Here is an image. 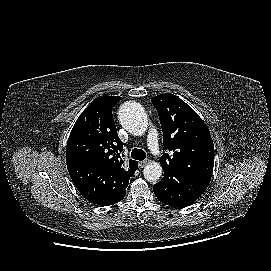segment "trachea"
Wrapping results in <instances>:
<instances>
[{
    "label": "trachea",
    "instance_id": "trachea-1",
    "mask_svg": "<svg viewBox=\"0 0 271 271\" xmlns=\"http://www.w3.org/2000/svg\"><path fill=\"white\" fill-rule=\"evenodd\" d=\"M132 159L142 161L146 158V153L142 149L134 148L130 154Z\"/></svg>",
    "mask_w": 271,
    "mask_h": 271
}]
</instances>
